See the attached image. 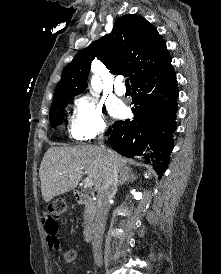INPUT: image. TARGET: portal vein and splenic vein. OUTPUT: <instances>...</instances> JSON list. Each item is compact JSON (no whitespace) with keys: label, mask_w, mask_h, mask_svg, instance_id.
Returning a JSON list of instances; mask_svg holds the SVG:
<instances>
[{"label":"portal vein and splenic vein","mask_w":221,"mask_h":274,"mask_svg":"<svg viewBox=\"0 0 221 274\" xmlns=\"http://www.w3.org/2000/svg\"><path fill=\"white\" fill-rule=\"evenodd\" d=\"M94 185V181L92 178H89L87 177L85 180H84V186L87 187V188H92Z\"/></svg>","instance_id":"portal-vein-and-splenic-vein-1"}]
</instances>
